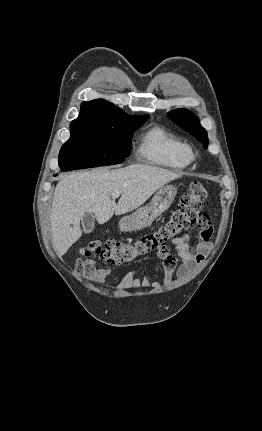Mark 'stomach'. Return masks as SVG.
I'll list each match as a JSON object with an SVG mask.
<instances>
[{"mask_svg": "<svg viewBox=\"0 0 262 431\" xmlns=\"http://www.w3.org/2000/svg\"><path fill=\"white\" fill-rule=\"evenodd\" d=\"M176 194L177 188L173 185L161 187L148 205L140 207L132 214L123 217L119 222V228L124 232H132L150 226L158 216L168 210Z\"/></svg>", "mask_w": 262, "mask_h": 431, "instance_id": "stomach-1", "label": "stomach"}]
</instances>
